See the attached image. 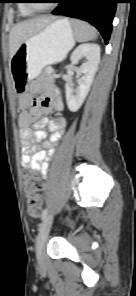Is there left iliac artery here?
Listing matches in <instances>:
<instances>
[{
  "instance_id": "obj_1",
  "label": "left iliac artery",
  "mask_w": 136,
  "mask_h": 296,
  "mask_svg": "<svg viewBox=\"0 0 136 296\" xmlns=\"http://www.w3.org/2000/svg\"><path fill=\"white\" fill-rule=\"evenodd\" d=\"M47 213H48V211H47V209H44V211H43V213H42V220H45V218L47 217Z\"/></svg>"
}]
</instances>
